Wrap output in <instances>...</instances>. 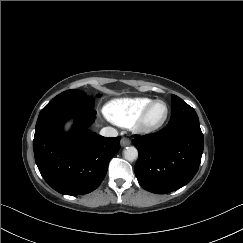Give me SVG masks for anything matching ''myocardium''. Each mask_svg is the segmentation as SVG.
Listing matches in <instances>:
<instances>
[{
	"mask_svg": "<svg viewBox=\"0 0 243 243\" xmlns=\"http://www.w3.org/2000/svg\"><path fill=\"white\" fill-rule=\"evenodd\" d=\"M158 103L164 104L165 109H166L165 115L160 122H158L156 124H149L147 122V117H148L150 111L152 110V108ZM168 117H169V105H168V103L165 100H162V99L153 100L150 104H148L143 109V111L141 112V114L139 115L137 120L134 122V129L136 131H138L139 133H143V134L153 133L155 131H158L159 129H161L165 125V123L168 120Z\"/></svg>",
	"mask_w": 243,
	"mask_h": 243,
	"instance_id": "obj_1",
	"label": "myocardium"
}]
</instances>
